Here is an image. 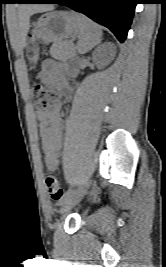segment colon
<instances>
[{
  "label": "colon",
  "mask_w": 166,
  "mask_h": 267,
  "mask_svg": "<svg viewBox=\"0 0 166 267\" xmlns=\"http://www.w3.org/2000/svg\"><path fill=\"white\" fill-rule=\"evenodd\" d=\"M32 96L34 99V104L39 110H46L53 106L57 100L58 95L53 89L45 87L41 83H35L32 86ZM44 185L46 192L50 198L54 201H59L63 195V190L59 185L57 178L48 173L44 179Z\"/></svg>",
  "instance_id": "1"
}]
</instances>
